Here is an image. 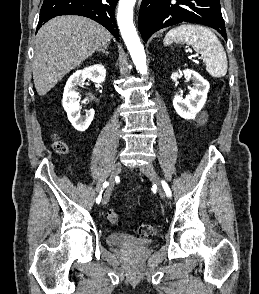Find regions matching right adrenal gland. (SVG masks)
Returning <instances> with one entry per match:
<instances>
[{
  "instance_id": "right-adrenal-gland-1",
  "label": "right adrenal gland",
  "mask_w": 259,
  "mask_h": 294,
  "mask_svg": "<svg viewBox=\"0 0 259 294\" xmlns=\"http://www.w3.org/2000/svg\"><path fill=\"white\" fill-rule=\"evenodd\" d=\"M107 47H108V45H105L102 49H100V50H98L99 52H102L103 54H105V55H108L109 53H108V51H107Z\"/></svg>"
}]
</instances>
